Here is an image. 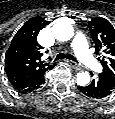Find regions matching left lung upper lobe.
Segmentation results:
<instances>
[{
  "mask_svg": "<svg viewBox=\"0 0 115 119\" xmlns=\"http://www.w3.org/2000/svg\"><path fill=\"white\" fill-rule=\"evenodd\" d=\"M89 28L97 50L103 51L102 73L115 80V29L102 17H95L89 21Z\"/></svg>",
  "mask_w": 115,
  "mask_h": 119,
  "instance_id": "1",
  "label": "left lung upper lobe"
}]
</instances>
